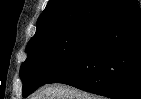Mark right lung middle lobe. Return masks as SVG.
<instances>
[{"instance_id": "right-lung-middle-lobe-1", "label": "right lung middle lobe", "mask_w": 141, "mask_h": 99, "mask_svg": "<svg viewBox=\"0 0 141 99\" xmlns=\"http://www.w3.org/2000/svg\"><path fill=\"white\" fill-rule=\"evenodd\" d=\"M100 22L88 21L57 29L29 41L21 65L23 96L27 97L68 65L84 48Z\"/></svg>"}]
</instances>
